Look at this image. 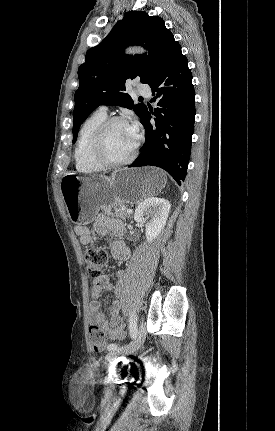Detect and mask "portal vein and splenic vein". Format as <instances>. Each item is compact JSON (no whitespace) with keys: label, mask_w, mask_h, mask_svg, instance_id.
I'll list each match as a JSON object with an SVG mask.
<instances>
[{"label":"portal vein and splenic vein","mask_w":275,"mask_h":431,"mask_svg":"<svg viewBox=\"0 0 275 431\" xmlns=\"http://www.w3.org/2000/svg\"><path fill=\"white\" fill-rule=\"evenodd\" d=\"M126 212H127L128 214H131L133 211H132V209H126Z\"/></svg>","instance_id":"18ae733b"}]
</instances>
